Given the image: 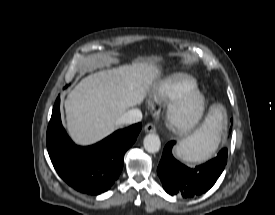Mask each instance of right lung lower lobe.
<instances>
[{
	"mask_svg": "<svg viewBox=\"0 0 275 215\" xmlns=\"http://www.w3.org/2000/svg\"><path fill=\"white\" fill-rule=\"evenodd\" d=\"M58 97L47 129V149L59 176L75 190L98 195L120 175L125 152L136 141L141 123L117 130L99 143L81 147L66 134L60 119Z\"/></svg>",
	"mask_w": 275,
	"mask_h": 215,
	"instance_id": "1",
	"label": "right lung lower lobe"
}]
</instances>
